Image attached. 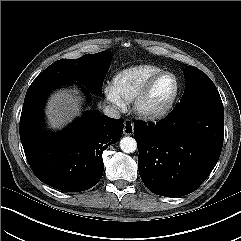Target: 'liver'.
<instances>
[{
    "label": "liver",
    "instance_id": "obj_1",
    "mask_svg": "<svg viewBox=\"0 0 241 241\" xmlns=\"http://www.w3.org/2000/svg\"><path fill=\"white\" fill-rule=\"evenodd\" d=\"M77 89H64L55 92L48 100L45 114L51 128L59 129L80 115L81 101Z\"/></svg>",
    "mask_w": 241,
    "mask_h": 241
}]
</instances>
